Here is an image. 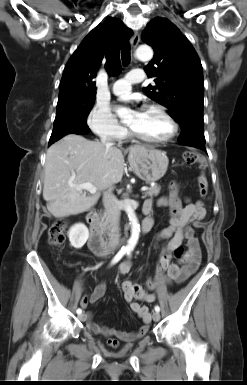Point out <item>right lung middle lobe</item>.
<instances>
[{
	"label": "right lung middle lobe",
	"instance_id": "dd1d6c3e",
	"mask_svg": "<svg viewBox=\"0 0 247 385\" xmlns=\"http://www.w3.org/2000/svg\"><path fill=\"white\" fill-rule=\"evenodd\" d=\"M95 101V95L62 94L59 95L53 132L72 127L87 126L89 115Z\"/></svg>",
	"mask_w": 247,
	"mask_h": 385
}]
</instances>
